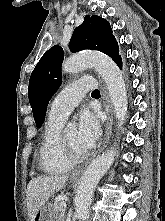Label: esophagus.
<instances>
[{"instance_id":"obj_1","label":"esophagus","mask_w":165,"mask_h":221,"mask_svg":"<svg viewBox=\"0 0 165 221\" xmlns=\"http://www.w3.org/2000/svg\"><path fill=\"white\" fill-rule=\"evenodd\" d=\"M101 88H102V94L105 100V110L107 113V120H106V124H105V134H104V140L103 143L99 149V154L104 150V148L106 147L111 133H112V126H113V111H112V105H111V101L108 95V91L107 88L105 86L104 83L101 82ZM87 167V163L84 164L79 170H77L73 175L74 176H79L80 174H82V172L85 170V168Z\"/></svg>"}]
</instances>
